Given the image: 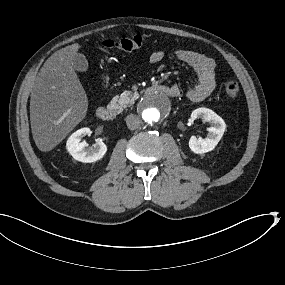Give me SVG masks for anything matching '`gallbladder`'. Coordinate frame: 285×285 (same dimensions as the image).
Instances as JSON below:
<instances>
[{"instance_id":"obj_1","label":"gallbladder","mask_w":285,"mask_h":285,"mask_svg":"<svg viewBox=\"0 0 285 285\" xmlns=\"http://www.w3.org/2000/svg\"><path fill=\"white\" fill-rule=\"evenodd\" d=\"M73 62L75 70L79 72L87 71L89 68V63L83 54L77 53L73 58Z\"/></svg>"}]
</instances>
